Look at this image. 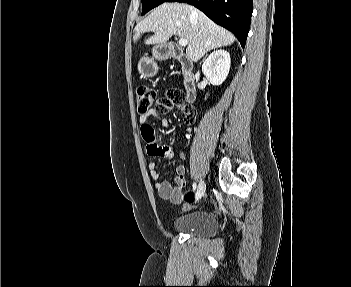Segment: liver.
<instances>
[{"mask_svg": "<svg viewBox=\"0 0 351 287\" xmlns=\"http://www.w3.org/2000/svg\"><path fill=\"white\" fill-rule=\"evenodd\" d=\"M133 41L145 32L154 35L145 40L147 45L164 44L177 35L188 40L187 56L197 61L210 50L231 45L235 36L210 20L203 12L183 3H163L156 7L135 29Z\"/></svg>", "mask_w": 351, "mask_h": 287, "instance_id": "liver-1", "label": "liver"}]
</instances>
